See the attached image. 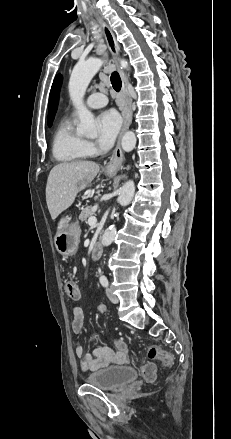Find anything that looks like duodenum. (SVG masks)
Masks as SVG:
<instances>
[{
  "label": "duodenum",
  "mask_w": 231,
  "mask_h": 439,
  "mask_svg": "<svg viewBox=\"0 0 231 439\" xmlns=\"http://www.w3.org/2000/svg\"><path fill=\"white\" fill-rule=\"evenodd\" d=\"M102 254V248L100 244H94L90 250V257L92 259H98L100 258Z\"/></svg>",
  "instance_id": "410a0bca"
}]
</instances>
